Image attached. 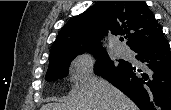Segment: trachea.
I'll list each match as a JSON object with an SVG mask.
<instances>
[{"label":"trachea","instance_id":"trachea-1","mask_svg":"<svg viewBox=\"0 0 171 110\" xmlns=\"http://www.w3.org/2000/svg\"><path fill=\"white\" fill-rule=\"evenodd\" d=\"M120 40H121V41H123L124 39H123V38H121Z\"/></svg>","mask_w":171,"mask_h":110}]
</instances>
